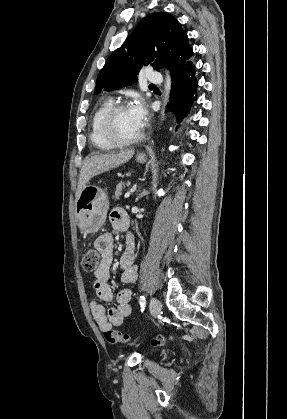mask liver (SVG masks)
I'll use <instances>...</instances> for the list:
<instances>
[{
	"label": "liver",
	"mask_w": 287,
	"mask_h": 419,
	"mask_svg": "<svg viewBox=\"0 0 287 419\" xmlns=\"http://www.w3.org/2000/svg\"><path fill=\"white\" fill-rule=\"evenodd\" d=\"M134 153V149H128L117 153H101L88 157L80 170L77 191L75 194L76 198L79 197L81 191L91 178L129 161Z\"/></svg>",
	"instance_id": "liver-1"
}]
</instances>
